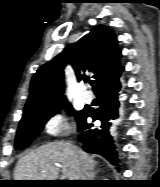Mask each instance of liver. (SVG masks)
Segmentation results:
<instances>
[{
    "instance_id": "obj_1",
    "label": "liver",
    "mask_w": 160,
    "mask_h": 187,
    "mask_svg": "<svg viewBox=\"0 0 160 187\" xmlns=\"http://www.w3.org/2000/svg\"><path fill=\"white\" fill-rule=\"evenodd\" d=\"M59 165L67 180H80L82 169L91 170L95 161L87 153L68 143L51 142L42 145L18 161L15 180H57Z\"/></svg>"
}]
</instances>
